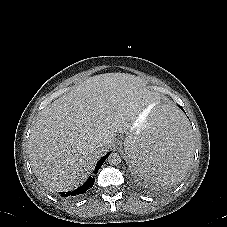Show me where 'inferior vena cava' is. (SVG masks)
Returning a JSON list of instances; mask_svg holds the SVG:
<instances>
[{"mask_svg":"<svg viewBox=\"0 0 227 227\" xmlns=\"http://www.w3.org/2000/svg\"><path fill=\"white\" fill-rule=\"evenodd\" d=\"M104 144H105L104 142H96V143H94V147H95V149H99V148L103 147Z\"/></svg>","mask_w":227,"mask_h":227,"instance_id":"inferior-vena-cava-1","label":"inferior vena cava"}]
</instances>
